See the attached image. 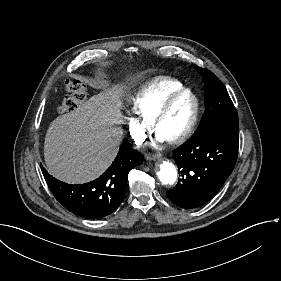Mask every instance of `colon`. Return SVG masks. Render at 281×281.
<instances>
[{"label":"colon","mask_w":281,"mask_h":281,"mask_svg":"<svg viewBox=\"0 0 281 281\" xmlns=\"http://www.w3.org/2000/svg\"><path fill=\"white\" fill-rule=\"evenodd\" d=\"M65 93V98L60 104V111L63 114L73 113L87 98L85 86L77 80L66 82Z\"/></svg>","instance_id":"1"}]
</instances>
